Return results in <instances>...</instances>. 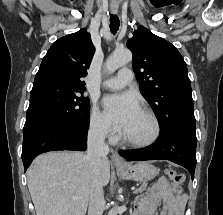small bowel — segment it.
Wrapping results in <instances>:
<instances>
[{
	"mask_svg": "<svg viewBox=\"0 0 223 215\" xmlns=\"http://www.w3.org/2000/svg\"><path fill=\"white\" fill-rule=\"evenodd\" d=\"M186 200L174 196V188L166 178H161L151 190L137 199L134 215H154L162 205L159 215H183Z\"/></svg>",
	"mask_w": 223,
	"mask_h": 215,
	"instance_id": "c3829d8e",
	"label": "small bowel"
}]
</instances>
